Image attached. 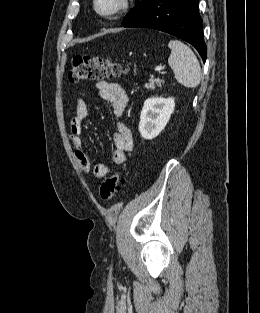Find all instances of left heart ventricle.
I'll return each instance as SVG.
<instances>
[{"mask_svg": "<svg viewBox=\"0 0 260 313\" xmlns=\"http://www.w3.org/2000/svg\"><path fill=\"white\" fill-rule=\"evenodd\" d=\"M118 0H99L98 7L101 11L112 10L117 5Z\"/></svg>", "mask_w": 260, "mask_h": 313, "instance_id": "b2bd125f", "label": "left heart ventricle"}]
</instances>
